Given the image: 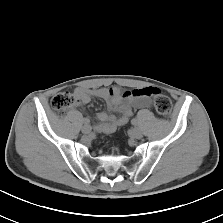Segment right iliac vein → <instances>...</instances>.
Listing matches in <instances>:
<instances>
[{"mask_svg":"<svg viewBox=\"0 0 223 223\" xmlns=\"http://www.w3.org/2000/svg\"><path fill=\"white\" fill-rule=\"evenodd\" d=\"M82 132H83L84 134H89V133L91 132V126L85 124V125L82 127Z\"/></svg>","mask_w":223,"mask_h":223,"instance_id":"obj_1","label":"right iliac vein"}]
</instances>
